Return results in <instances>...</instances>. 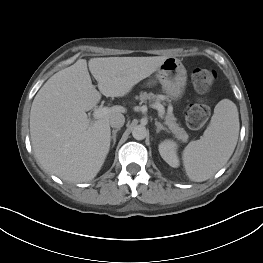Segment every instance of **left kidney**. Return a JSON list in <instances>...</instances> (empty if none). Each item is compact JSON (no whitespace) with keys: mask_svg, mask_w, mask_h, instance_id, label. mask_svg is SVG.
<instances>
[{"mask_svg":"<svg viewBox=\"0 0 263 263\" xmlns=\"http://www.w3.org/2000/svg\"><path fill=\"white\" fill-rule=\"evenodd\" d=\"M159 153L163 160H165L171 167L179 166V159L177 156V144L171 140H165L159 145Z\"/></svg>","mask_w":263,"mask_h":263,"instance_id":"1","label":"left kidney"}]
</instances>
